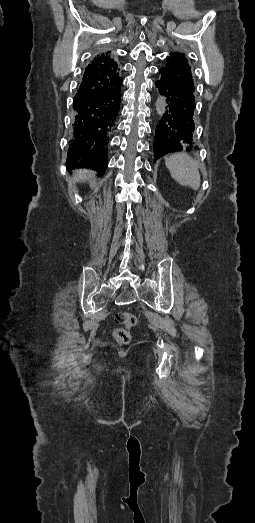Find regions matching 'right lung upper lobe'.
Here are the masks:
<instances>
[{"label": "right lung upper lobe", "instance_id": "1", "mask_svg": "<svg viewBox=\"0 0 255 523\" xmlns=\"http://www.w3.org/2000/svg\"><path fill=\"white\" fill-rule=\"evenodd\" d=\"M110 52L95 57L86 67L82 81L74 97V127L73 139L70 142L67 155V166L86 167L104 174L107 168L108 142L120 108L121 84L120 69L110 58ZM91 96L100 98V129L98 135L92 138L83 136V113L79 111V102L88 100ZM92 139L94 151L86 154L83 151V141Z\"/></svg>", "mask_w": 255, "mask_h": 523}]
</instances>
